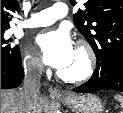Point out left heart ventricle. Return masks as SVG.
<instances>
[{"label": "left heart ventricle", "instance_id": "obj_1", "mask_svg": "<svg viewBox=\"0 0 123 113\" xmlns=\"http://www.w3.org/2000/svg\"><path fill=\"white\" fill-rule=\"evenodd\" d=\"M84 67V59L80 53L75 51L74 56L70 63L63 67L61 71L65 74L73 75L82 71Z\"/></svg>", "mask_w": 123, "mask_h": 113}]
</instances>
